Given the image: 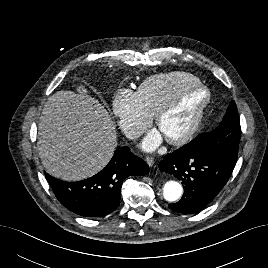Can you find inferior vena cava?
I'll list each match as a JSON object with an SVG mask.
<instances>
[{"label":"inferior vena cava","instance_id":"inferior-vena-cava-1","mask_svg":"<svg viewBox=\"0 0 268 268\" xmlns=\"http://www.w3.org/2000/svg\"><path fill=\"white\" fill-rule=\"evenodd\" d=\"M126 137L129 139H136L139 137V133L133 129H129L126 131Z\"/></svg>","mask_w":268,"mask_h":268}]
</instances>
